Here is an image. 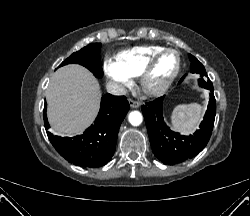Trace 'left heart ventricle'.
Here are the masks:
<instances>
[{
  "mask_svg": "<svg viewBox=\"0 0 250 216\" xmlns=\"http://www.w3.org/2000/svg\"><path fill=\"white\" fill-rule=\"evenodd\" d=\"M177 66V56L174 53L162 55L156 62L147 84L150 88L161 87L173 74Z\"/></svg>",
  "mask_w": 250,
  "mask_h": 216,
  "instance_id": "b2bd125f",
  "label": "left heart ventricle"
}]
</instances>
